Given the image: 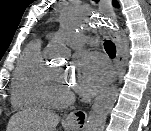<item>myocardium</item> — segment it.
I'll return each mask as SVG.
<instances>
[{"label":"myocardium","mask_w":151,"mask_h":131,"mask_svg":"<svg viewBox=\"0 0 151 131\" xmlns=\"http://www.w3.org/2000/svg\"><path fill=\"white\" fill-rule=\"evenodd\" d=\"M54 75V69L51 67H47V69L42 74L38 91L42 102L50 107H66L73 103L75 97L71 92H67L64 95L55 96L50 91V81Z\"/></svg>","instance_id":"1"}]
</instances>
